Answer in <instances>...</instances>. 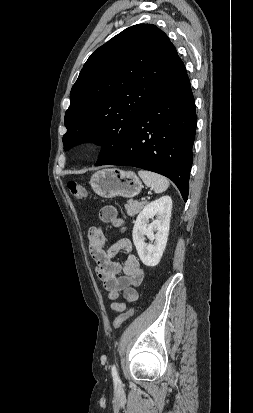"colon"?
<instances>
[{"label":"colon","instance_id":"obj_1","mask_svg":"<svg viewBox=\"0 0 253 413\" xmlns=\"http://www.w3.org/2000/svg\"><path fill=\"white\" fill-rule=\"evenodd\" d=\"M68 190L70 194L76 199H83L87 196L86 189L76 181H69L67 183ZM134 313V309L130 308L129 310L118 315L113 321V327L115 329L119 328L128 318H130Z\"/></svg>","mask_w":253,"mask_h":413}]
</instances>
